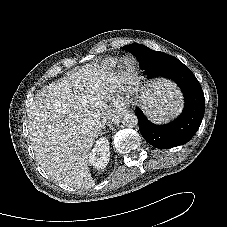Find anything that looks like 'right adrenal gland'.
<instances>
[{"label":"right adrenal gland","instance_id":"1","mask_svg":"<svg viewBox=\"0 0 227 227\" xmlns=\"http://www.w3.org/2000/svg\"><path fill=\"white\" fill-rule=\"evenodd\" d=\"M104 128V127H103ZM99 136H102L104 134V132H102L101 130L99 131Z\"/></svg>","mask_w":227,"mask_h":227}]
</instances>
